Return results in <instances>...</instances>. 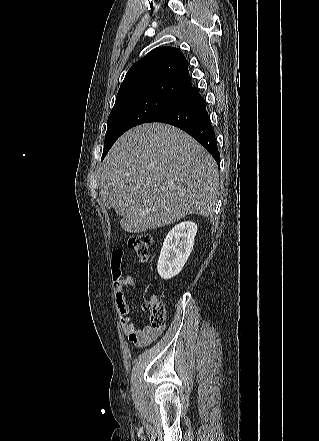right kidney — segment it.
<instances>
[{"label":"right kidney","instance_id":"right-kidney-1","mask_svg":"<svg viewBox=\"0 0 319 441\" xmlns=\"http://www.w3.org/2000/svg\"><path fill=\"white\" fill-rule=\"evenodd\" d=\"M196 233L197 225L190 221L181 222L168 232L157 264L162 279H171L182 270L193 250Z\"/></svg>","mask_w":319,"mask_h":441}]
</instances>
